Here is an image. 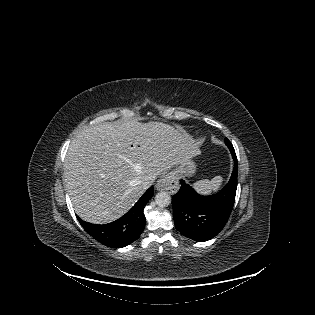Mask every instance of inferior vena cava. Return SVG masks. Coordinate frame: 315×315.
Returning <instances> with one entry per match:
<instances>
[{
    "label": "inferior vena cava",
    "mask_w": 315,
    "mask_h": 315,
    "mask_svg": "<svg viewBox=\"0 0 315 315\" xmlns=\"http://www.w3.org/2000/svg\"><path fill=\"white\" fill-rule=\"evenodd\" d=\"M153 184V180H146L142 183V188L144 190L148 189Z\"/></svg>",
    "instance_id": "1"
}]
</instances>
